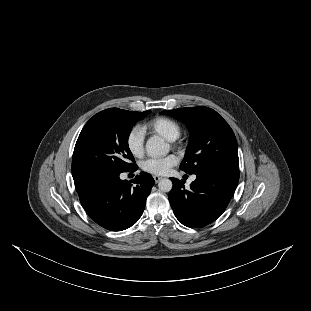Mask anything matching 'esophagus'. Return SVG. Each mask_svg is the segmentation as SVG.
I'll use <instances>...</instances> for the list:
<instances>
[{
	"instance_id": "1",
	"label": "esophagus",
	"mask_w": 311,
	"mask_h": 311,
	"mask_svg": "<svg viewBox=\"0 0 311 311\" xmlns=\"http://www.w3.org/2000/svg\"><path fill=\"white\" fill-rule=\"evenodd\" d=\"M153 178H154L156 183H158L162 179L161 176H153Z\"/></svg>"
}]
</instances>
